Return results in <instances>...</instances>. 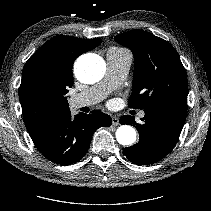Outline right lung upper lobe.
I'll list each match as a JSON object with an SVG mask.
<instances>
[{"label": "right lung upper lobe", "instance_id": "1", "mask_svg": "<svg viewBox=\"0 0 211 211\" xmlns=\"http://www.w3.org/2000/svg\"><path fill=\"white\" fill-rule=\"evenodd\" d=\"M101 39H79L57 35L42 45L26 62L19 87L25 126L30 135L45 127L59 114L69 110L65 96L44 100L34 91L38 81L67 90L73 85L72 66L81 54L94 49Z\"/></svg>", "mask_w": 211, "mask_h": 211}]
</instances>
